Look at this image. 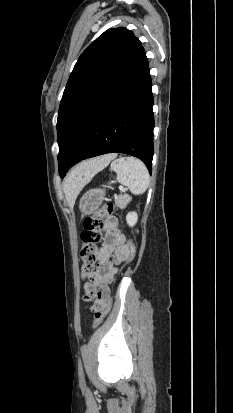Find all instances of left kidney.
Returning <instances> with one entry per match:
<instances>
[{
  "label": "left kidney",
  "mask_w": 233,
  "mask_h": 413,
  "mask_svg": "<svg viewBox=\"0 0 233 413\" xmlns=\"http://www.w3.org/2000/svg\"><path fill=\"white\" fill-rule=\"evenodd\" d=\"M137 220H138V215L136 212H129L126 216L127 224L130 227H133L137 223Z\"/></svg>",
  "instance_id": "obj_1"
}]
</instances>
